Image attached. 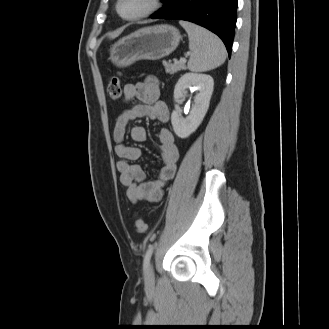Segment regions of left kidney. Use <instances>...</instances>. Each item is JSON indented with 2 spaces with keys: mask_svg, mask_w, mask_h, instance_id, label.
<instances>
[{
  "mask_svg": "<svg viewBox=\"0 0 329 329\" xmlns=\"http://www.w3.org/2000/svg\"><path fill=\"white\" fill-rule=\"evenodd\" d=\"M213 86V78L207 74L185 73L178 80L174 89L175 102L184 98L188 89L198 91L194 97V106L186 118H183L177 110H174L171 114L173 130L178 137L187 138L202 123L209 108Z\"/></svg>",
  "mask_w": 329,
  "mask_h": 329,
  "instance_id": "left-kidney-1",
  "label": "left kidney"
}]
</instances>
